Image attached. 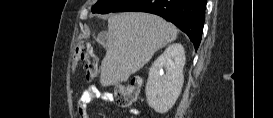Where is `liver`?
Listing matches in <instances>:
<instances>
[{
    "mask_svg": "<svg viewBox=\"0 0 273 118\" xmlns=\"http://www.w3.org/2000/svg\"><path fill=\"white\" fill-rule=\"evenodd\" d=\"M176 37V27L156 15L125 12L110 16L106 55L101 63V85L106 87L126 82L157 50Z\"/></svg>",
    "mask_w": 273,
    "mask_h": 118,
    "instance_id": "6515ba94",
    "label": "liver"
}]
</instances>
